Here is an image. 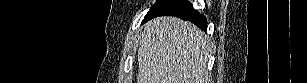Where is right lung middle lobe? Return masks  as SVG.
<instances>
[{"mask_svg":"<svg viewBox=\"0 0 307 83\" xmlns=\"http://www.w3.org/2000/svg\"><path fill=\"white\" fill-rule=\"evenodd\" d=\"M152 8H153V6L151 7V9H152ZM151 9H150V10H151ZM149 12H150V11H149ZM149 12H148V13H149ZM148 13H147V15H148ZM147 15H146V16H147ZM146 16H145V17H146Z\"/></svg>","mask_w":307,"mask_h":83,"instance_id":"obj_1","label":"right lung middle lobe"}]
</instances>
